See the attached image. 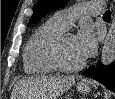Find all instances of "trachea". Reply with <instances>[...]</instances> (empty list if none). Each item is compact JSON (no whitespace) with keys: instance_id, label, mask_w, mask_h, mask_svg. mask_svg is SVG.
<instances>
[{"instance_id":"3493384b","label":"trachea","mask_w":115,"mask_h":99,"mask_svg":"<svg viewBox=\"0 0 115 99\" xmlns=\"http://www.w3.org/2000/svg\"><path fill=\"white\" fill-rule=\"evenodd\" d=\"M103 17H108V18H110V17H111V12H110V10H107V11L104 13Z\"/></svg>"}]
</instances>
